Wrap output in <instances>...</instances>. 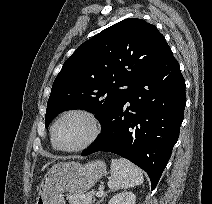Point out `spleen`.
I'll list each match as a JSON object with an SVG mask.
<instances>
[{
  "mask_svg": "<svg viewBox=\"0 0 212 204\" xmlns=\"http://www.w3.org/2000/svg\"><path fill=\"white\" fill-rule=\"evenodd\" d=\"M110 169L108 187L111 190L131 188L141 185L144 181L142 171L124 158L111 159Z\"/></svg>",
  "mask_w": 212,
  "mask_h": 204,
  "instance_id": "3e777b00",
  "label": "spleen"
}]
</instances>
